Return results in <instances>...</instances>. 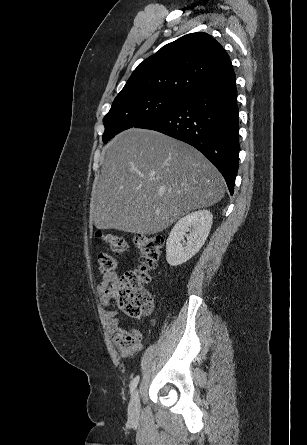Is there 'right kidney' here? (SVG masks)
<instances>
[{
	"instance_id": "obj_1",
	"label": "right kidney",
	"mask_w": 307,
	"mask_h": 445,
	"mask_svg": "<svg viewBox=\"0 0 307 445\" xmlns=\"http://www.w3.org/2000/svg\"><path fill=\"white\" fill-rule=\"evenodd\" d=\"M212 220L213 216L209 210H196L178 220L166 243V259L171 267L186 263L200 251L210 233ZM181 241L186 245H183Z\"/></svg>"
}]
</instances>
